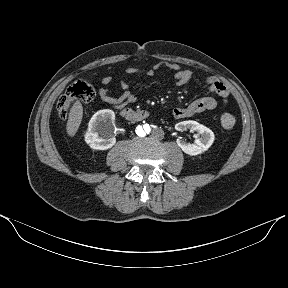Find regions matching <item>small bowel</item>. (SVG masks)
I'll use <instances>...</instances> for the list:
<instances>
[{"instance_id":"1","label":"small bowel","mask_w":288,"mask_h":288,"mask_svg":"<svg viewBox=\"0 0 288 288\" xmlns=\"http://www.w3.org/2000/svg\"><path fill=\"white\" fill-rule=\"evenodd\" d=\"M166 68L172 72L173 83L176 86L187 85L193 74L190 70L182 68L180 65L168 61H161L149 69H138V68H128L126 72L128 74H144L145 76H153L159 69ZM102 84L108 85L112 83L113 79L111 77H103ZM208 83V92L207 95L199 98L185 107L175 108L172 110V116L176 119L190 118L195 115L202 113L204 111L213 110L217 107V100L212 96V94L217 95L222 103H227L229 91L225 85L219 81L216 77L210 76L207 78ZM120 94H115L114 92L106 89H99V98L115 108H122L127 104L133 103L136 101V95L130 89L128 83L124 80L120 81Z\"/></svg>"}]
</instances>
